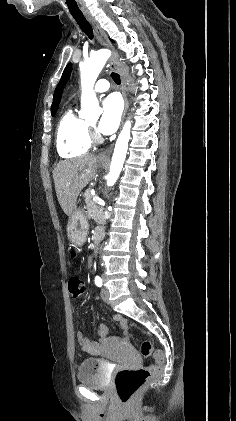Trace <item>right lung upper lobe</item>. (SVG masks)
Wrapping results in <instances>:
<instances>
[{"mask_svg": "<svg viewBox=\"0 0 236 421\" xmlns=\"http://www.w3.org/2000/svg\"><path fill=\"white\" fill-rule=\"evenodd\" d=\"M60 98H61V92L59 91L56 97L54 98V102L52 105V112L57 110L58 104L60 102Z\"/></svg>", "mask_w": 236, "mask_h": 421, "instance_id": "cb5924a9", "label": "right lung upper lobe"}]
</instances>
